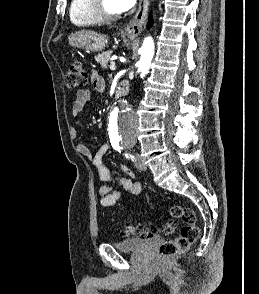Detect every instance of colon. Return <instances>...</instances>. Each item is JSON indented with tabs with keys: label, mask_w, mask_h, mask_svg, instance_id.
Here are the masks:
<instances>
[{
	"label": "colon",
	"mask_w": 259,
	"mask_h": 294,
	"mask_svg": "<svg viewBox=\"0 0 259 294\" xmlns=\"http://www.w3.org/2000/svg\"><path fill=\"white\" fill-rule=\"evenodd\" d=\"M64 81L65 86L70 89L81 88L87 84L88 74L81 61L73 60L70 63ZM170 214L174 219L182 221L184 225L178 237L163 242L158 248L157 253L163 258L172 257L187 251L200 234V230L196 225V215L192 208L175 205L171 207ZM177 228L178 223L176 221L166 223L162 229L127 224L123 233L126 236L149 237L157 234L159 231L170 234Z\"/></svg>",
	"instance_id": "1"
}]
</instances>
